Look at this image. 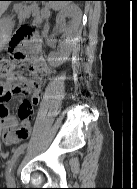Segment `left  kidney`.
I'll use <instances>...</instances> for the list:
<instances>
[{"mask_svg": "<svg viewBox=\"0 0 137 189\" xmlns=\"http://www.w3.org/2000/svg\"><path fill=\"white\" fill-rule=\"evenodd\" d=\"M73 17V18H78L79 16V12L77 11V8L74 7V6H68L66 7L65 9H63L57 16L56 18V22L57 24L59 25H62V23L64 22L65 20V17ZM64 31V29H63ZM68 56H69V52L68 51H64L62 52L61 54L59 55H54V54H51L50 57H49V61L58 66L60 65L61 63H63L64 61H66L68 59Z\"/></svg>", "mask_w": 137, "mask_h": 189, "instance_id": "1", "label": "left kidney"}]
</instances>
